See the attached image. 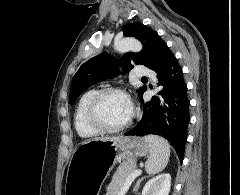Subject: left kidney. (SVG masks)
<instances>
[{"mask_svg":"<svg viewBox=\"0 0 240 195\" xmlns=\"http://www.w3.org/2000/svg\"><path fill=\"white\" fill-rule=\"evenodd\" d=\"M170 187V173H160L145 183L142 195H169Z\"/></svg>","mask_w":240,"mask_h":195,"instance_id":"obj_1","label":"left kidney"}]
</instances>
